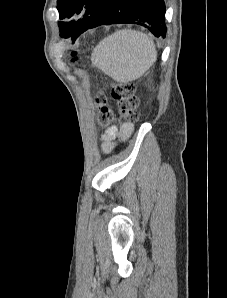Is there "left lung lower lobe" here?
I'll return each instance as SVG.
<instances>
[{
  "mask_svg": "<svg viewBox=\"0 0 227 298\" xmlns=\"http://www.w3.org/2000/svg\"><path fill=\"white\" fill-rule=\"evenodd\" d=\"M164 0H107L95 27L110 24H138L155 36L165 37Z\"/></svg>",
  "mask_w": 227,
  "mask_h": 298,
  "instance_id": "obj_1",
  "label": "left lung lower lobe"
}]
</instances>
